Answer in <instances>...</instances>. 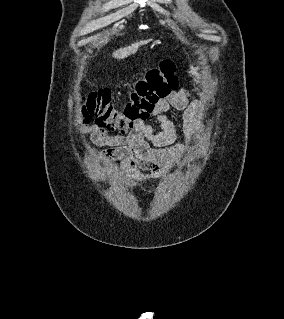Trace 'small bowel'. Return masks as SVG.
<instances>
[{
    "label": "small bowel",
    "mask_w": 284,
    "mask_h": 319,
    "mask_svg": "<svg viewBox=\"0 0 284 319\" xmlns=\"http://www.w3.org/2000/svg\"><path fill=\"white\" fill-rule=\"evenodd\" d=\"M182 111V135L193 140L198 132L199 118L204 110L203 103L187 90L181 89L161 99L152 111L159 130L147 121L139 122L126 136H112L98 125L83 126L80 131L89 134L92 143L109 145L113 149L104 152L101 161H118L122 171L141 184H147L144 172L160 179L171 171L179 158L180 149L175 146L179 133L175 124L166 116L170 109ZM85 149L88 144L83 143Z\"/></svg>",
    "instance_id": "c3829d8e"
}]
</instances>
